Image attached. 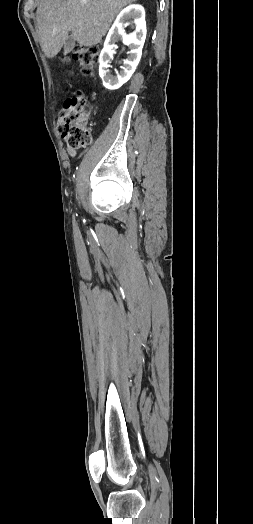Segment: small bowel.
Returning a JSON list of instances; mask_svg holds the SVG:
<instances>
[{
  "label": "small bowel",
  "mask_w": 253,
  "mask_h": 524,
  "mask_svg": "<svg viewBox=\"0 0 253 524\" xmlns=\"http://www.w3.org/2000/svg\"><path fill=\"white\" fill-rule=\"evenodd\" d=\"M68 153L71 155V156H75L76 155V150L72 149V148H68L67 149Z\"/></svg>",
  "instance_id": "small-bowel-1"
}]
</instances>
